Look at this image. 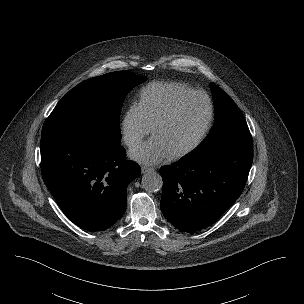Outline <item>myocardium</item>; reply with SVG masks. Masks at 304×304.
<instances>
[{"instance_id":"myocardium-1","label":"myocardium","mask_w":304,"mask_h":304,"mask_svg":"<svg viewBox=\"0 0 304 304\" xmlns=\"http://www.w3.org/2000/svg\"><path fill=\"white\" fill-rule=\"evenodd\" d=\"M194 97H202L206 100L207 105H208V115L205 121V124L201 130V132L199 133V135L196 137V139L189 144L187 147L171 154V158L172 159H179L182 157H185L187 155H189L190 153H192L193 151H195L202 143L203 141L206 139L212 123H213V119H214V104L213 101L211 99V97L203 92V91H199V90H193L191 92H188L182 96H180L179 98H177L170 106L169 108L154 122L153 126L151 127V132L152 135L155 133V131L164 123H166L168 120L171 119V117L176 113V111L179 109V107L188 99L194 98Z\"/></svg>"}]
</instances>
